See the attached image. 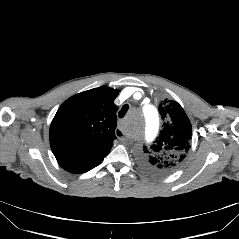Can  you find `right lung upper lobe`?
<instances>
[{"mask_svg":"<svg viewBox=\"0 0 239 239\" xmlns=\"http://www.w3.org/2000/svg\"><path fill=\"white\" fill-rule=\"evenodd\" d=\"M119 91L101 86L78 93L58 109L50 126V146L59 165L84 173L102 162L112 148Z\"/></svg>","mask_w":239,"mask_h":239,"instance_id":"cb5924a9","label":"right lung upper lobe"}]
</instances>
